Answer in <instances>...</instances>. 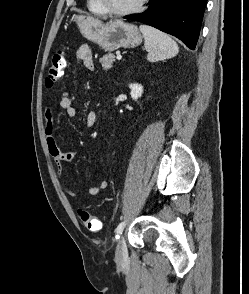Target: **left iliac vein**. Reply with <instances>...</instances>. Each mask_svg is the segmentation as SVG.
<instances>
[{
  "label": "left iliac vein",
  "instance_id": "left-iliac-vein-1",
  "mask_svg": "<svg viewBox=\"0 0 249 294\" xmlns=\"http://www.w3.org/2000/svg\"><path fill=\"white\" fill-rule=\"evenodd\" d=\"M128 258L127 246L124 236H121L118 240L116 247V261L119 264L124 263Z\"/></svg>",
  "mask_w": 249,
  "mask_h": 294
}]
</instances>
